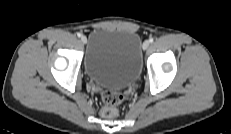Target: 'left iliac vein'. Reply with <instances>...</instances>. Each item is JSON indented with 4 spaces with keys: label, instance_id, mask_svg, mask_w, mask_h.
<instances>
[{
    "label": "left iliac vein",
    "instance_id": "obj_1",
    "mask_svg": "<svg viewBox=\"0 0 231 134\" xmlns=\"http://www.w3.org/2000/svg\"><path fill=\"white\" fill-rule=\"evenodd\" d=\"M149 45H150V42L149 41H145L144 43H143V50H146V49H148V47H149Z\"/></svg>",
    "mask_w": 231,
    "mask_h": 134
}]
</instances>
